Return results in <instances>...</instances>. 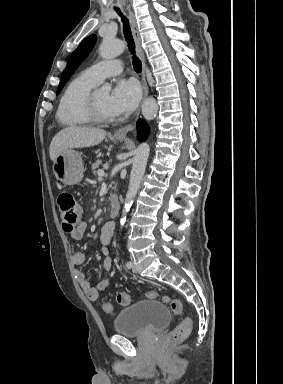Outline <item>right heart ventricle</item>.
I'll return each mask as SVG.
<instances>
[{
    "label": "right heart ventricle",
    "instance_id": "obj_1",
    "mask_svg": "<svg viewBox=\"0 0 283 384\" xmlns=\"http://www.w3.org/2000/svg\"><path fill=\"white\" fill-rule=\"evenodd\" d=\"M96 83L85 72L72 78L64 88L57 105L56 117L66 129L78 130L91 125L81 113V103Z\"/></svg>",
    "mask_w": 283,
    "mask_h": 384
}]
</instances>
